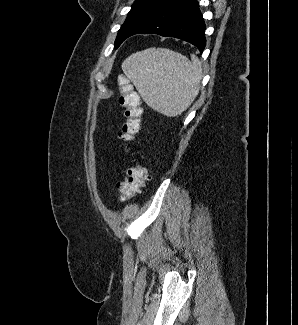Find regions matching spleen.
<instances>
[{
    "label": "spleen",
    "instance_id": "spleen-1",
    "mask_svg": "<svg viewBox=\"0 0 298 325\" xmlns=\"http://www.w3.org/2000/svg\"><path fill=\"white\" fill-rule=\"evenodd\" d=\"M122 70L153 110L179 116L195 100L203 76L196 54L191 60L170 48H145L123 60Z\"/></svg>",
    "mask_w": 298,
    "mask_h": 325
}]
</instances>
